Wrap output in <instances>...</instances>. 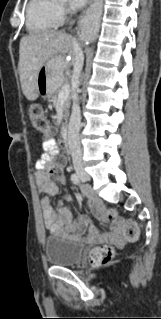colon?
Returning a JSON list of instances; mask_svg holds the SVG:
<instances>
[{
  "instance_id": "1",
  "label": "colon",
  "mask_w": 161,
  "mask_h": 319,
  "mask_svg": "<svg viewBox=\"0 0 161 319\" xmlns=\"http://www.w3.org/2000/svg\"><path fill=\"white\" fill-rule=\"evenodd\" d=\"M29 118L32 122V125L35 130L44 134V135H52L55 131L54 126L44 117V111L42 106L40 105H32L28 109ZM46 142L54 147L55 140L53 138H46ZM66 165V159L64 157H58L53 162V165L49 168V175L51 177H62L64 175V168ZM112 213L109 212L108 216H111ZM124 229L126 233V237L129 240H135L138 238V226L132 221L128 220L124 224ZM114 250L112 247L108 245H98L92 249L90 253V262L92 265L98 266H106L110 264L114 258Z\"/></svg>"
}]
</instances>
